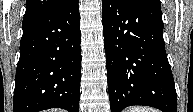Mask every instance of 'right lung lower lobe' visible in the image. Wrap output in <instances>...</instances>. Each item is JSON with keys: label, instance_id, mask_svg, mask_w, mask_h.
Returning <instances> with one entry per match:
<instances>
[{"label": "right lung lower lobe", "instance_id": "obj_1", "mask_svg": "<svg viewBox=\"0 0 193 112\" xmlns=\"http://www.w3.org/2000/svg\"><path fill=\"white\" fill-rule=\"evenodd\" d=\"M78 0L23 23L13 112H78L81 80Z\"/></svg>", "mask_w": 193, "mask_h": 112}]
</instances>
